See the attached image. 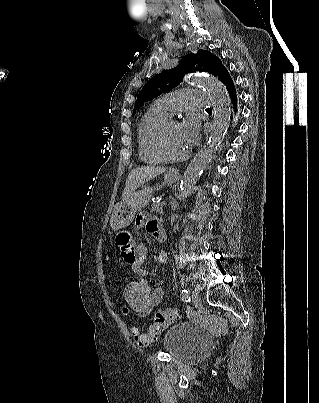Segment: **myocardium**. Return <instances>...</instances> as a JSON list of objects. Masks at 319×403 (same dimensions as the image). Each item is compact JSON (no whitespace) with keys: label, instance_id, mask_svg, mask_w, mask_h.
<instances>
[{"label":"myocardium","instance_id":"obj_1","mask_svg":"<svg viewBox=\"0 0 319 403\" xmlns=\"http://www.w3.org/2000/svg\"><path fill=\"white\" fill-rule=\"evenodd\" d=\"M178 123V121L174 118H168L159 128L156 139H155V148L157 153L164 161L168 162H181L186 160L190 156V151H187L181 155H172L166 147V133L169 127L173 124Z\"/></svg>","mask_w":319,"mask_h":403}]
</instances>
